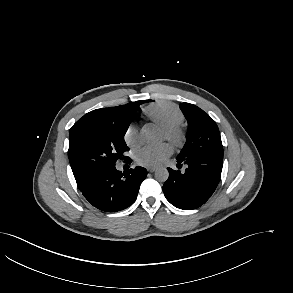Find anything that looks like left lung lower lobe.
I'll list each match as a JSON object with an SVG mask.
<instances>
[{"mask_svg": "<svg viewBox=\"0 0 293 293\" xmlns=\"http://www.w3.org/2000/svg\"><path fill=\"white\" fill-rule=\"evenodd\" d=\"M179 163L188 167L185 172L168 168L169 177L163 185L166 199L175 207L191 210L203 205L215 191L221 176L223 160L204 154H197Z\"/></svg>", "mask_w": 293, "mask_h": 293, "instance_id": "left-lung-lower-lobe-1", "label": "left lung lower lobe"}]
</instances>
